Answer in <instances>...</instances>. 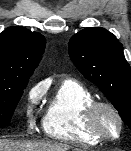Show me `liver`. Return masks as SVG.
Returning <instances> with one entry per match:
<instances>
[{"label": "liver", "instance_id": "6515ba94", "mask_svg": "<svg viewBox=\"0 0 131 151\" xmlns=\"http://www.w3.org/2000/svg\"><path fill=\"white\" fill-rule=\"evenodd\" d=\"M70 149L69 145L56 142H13L0 140V151H69Z\"/></svg>", "mask_w": 131, "mask_h": 151}]
</instances>
